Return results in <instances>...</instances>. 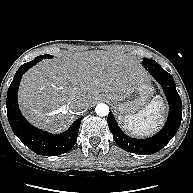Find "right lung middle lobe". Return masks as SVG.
Wrapping results in <instances>:
<instances>
[{"label": "right lung middle lobe", "instance_id": "obj_1", "mask_svg": "<svg viewBox=\"0 0 193 193\" xmlns=\"http://www.w3.org/2000/svg\"><path fill=\"white\" fill-rule=\"evenodd\" d=\"M49 58H52V56L51 55H48V54H46V55H41V56H38V57H36L35 59H38V60H42V59H49Z\"/></svg>", "mask_w": 193, "mask_h": 193}]
</instances>
